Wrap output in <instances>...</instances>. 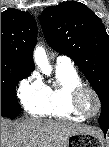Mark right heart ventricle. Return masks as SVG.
<instances>
[{"label":"right heart ventricle","instance_id":"1","mask_svg":"<svg viewBox=\"0 0 109 147\" xmlns=\"http://www.w3.org/2000/svg\"><path fill=\"white\" fill-rule=\"evenodd\" d=\"M83 84L77 71L72 68H55V80L44 86L45 99L25 104L26 110L37 117H53L72 122H83L87 118L78 114L71 105V96L77 86Z\"/></svg>","mask_w":109,"mask_h":147}]
</instances>
